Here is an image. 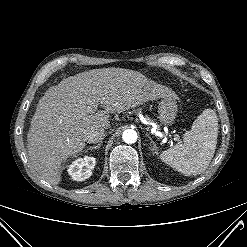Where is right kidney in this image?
I'll use <instances>...</instances> for the list:
<instances>
[{"label": "right kidney", "mask_w": 247, "mask_h": 247, "mask_svg": "<svg viewBox=\"0 0 247 247\" xmlns=\"http://www.w3.org/2000/svg\"><path fill=\"white\" fill-rule=\"evenodd\" d=\"M96 159L92 156L78 158L68 167V173L75 181H83L92 175Z\"/></svg>", "instance_id": "1"}]
</instances>
